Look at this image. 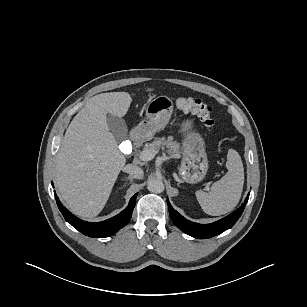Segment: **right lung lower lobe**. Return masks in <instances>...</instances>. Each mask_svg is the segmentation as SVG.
I'll list each match as a JSON object with an SVG mask.
<instances>
[{"instance_id": "obj_1", "label": "right lung lower lobe", "mask_w": 307, "mask_h": 307, "mask_svg": "<svg viewBox=\"0 0 307 307\" xmlns=\"http://www.w3.org/2000/svg\"><path fill=\"white\" fill-rule=\"evenodd\" d=\"M136 196L137 194L130 199L129 205L121 213L108 220L97 223L86 222L77 218L61 204L56 194L55 199L65 220L78 231L89 237H109L115 234L129 222L135 206Z\"/></svg>"}]
</instances>
